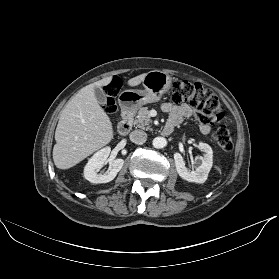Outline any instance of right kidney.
<instances>
[{"mask_svg": "<svg viewBox=\"0 0 279 279\" xmlns=\"http://www.w3.org/2000/svg\"><path fill=\"white\" fill-rule=\"evenodd\" d=\"M111 152L110 147H105L98 152H96L88 161L84 168V177L86 180H88L91 183H108L112 181L117 173L121 170L124 160L123 159H115L111 162L109 170L102 174H98L97 170L101 168L105 162L107 161V158Z\"/></svg>", "mask_w": 279, "mask_h": 279, "instance_id": "1", "label": "right kidney"}]
</instances>
